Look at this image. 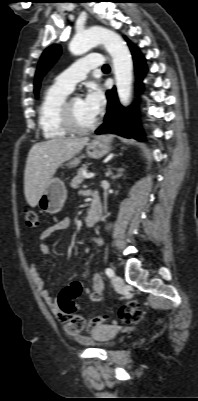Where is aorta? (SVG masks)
<instances>
[{
	"instance_id": "762f6f07",
	"label": "aorta",
	"mask_w": 198,
	"mask_h": 401,
	"mask_svg": "<svg viewBox=\"0 0 198 401\" xmlns=\"http://www.w3.org/2000/svg\"><path fill=\"white\" fill-rule=\"evenodd\" d=\"M98 44H103L112 57L118 97L121 104L127 106L132 91L133 62L120 35L104 27H91L73 37L69 50L74 55H82Z\"/></svg>"
}]
</instances>
